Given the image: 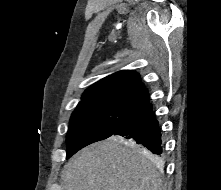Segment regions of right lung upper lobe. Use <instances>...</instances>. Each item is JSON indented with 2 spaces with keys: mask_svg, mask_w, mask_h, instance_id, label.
I'll return each mask as SVG.
<instances>
[{
  "mask_svg": "<svg viewBox=\"0 0 221 190\" xmlns=\"http://www.w3.org/2000/svg\"><path fill=\"white\" fill-rule=\"evenodd\" d=\"M150 101L148 90L140 75L122 70L91 85L82 95L78 106L90 104H114L139 109Z\"/></svg>",
  "mask_w": 221,
  "mask_h": 190,
  "instance_id": "cb5924a9",
  "label": "right lung upper lobe"
}]
</instances>
